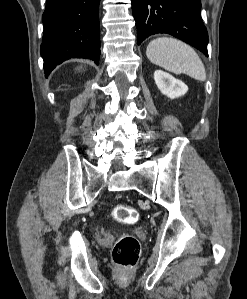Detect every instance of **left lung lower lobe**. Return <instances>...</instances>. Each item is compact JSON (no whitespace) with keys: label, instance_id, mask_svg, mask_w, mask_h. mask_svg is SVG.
I'll list each match as a JSON object with an SVG mask.
<instances>
[{"label":"left lung lower lobe","instance_id":"left-lung-lower-lobe-1","mask_svg":"<svg viewBox=\"0 0 247 299\" xmlns=\"http://www.w3.org/2000/svg\"><path fill=\"white\" fill-rule=\"evenodd\" d=\"M138 45L150 35L166 33L192 45L206 56L208 33L200 0H132Z\"/></svg>","mask_w":247,"mask_h":299}]
</instances>
